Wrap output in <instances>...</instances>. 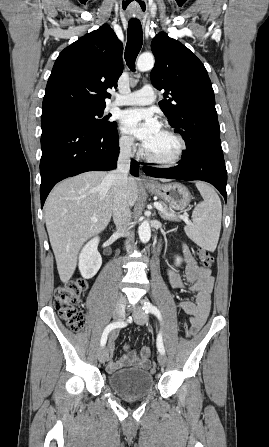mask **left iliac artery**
Returning a JSON list of instances; mask_svg holds the SVG:
<instances>
[{"label":"left iliac artery","mask_w":269,"mask_h":447,"mask_svg":"<svg viewBox=\"0 0 269 447\" xmlns=\"http://www.w3.org/2000/svg\"><path fill=\"white\" fill-rule=\"evenodd\" d=\"M143 310H145L146 313H152V314L156 315L158 317V319L162 321V315H161L159 309H157L150 302H145L144 303ZM157 348H158L160 353L165 354V349H164L163 340H162V334L161 333H159V335L157 337Z\"/></svg>","instance_id":"44dca946"}]
</instances>
